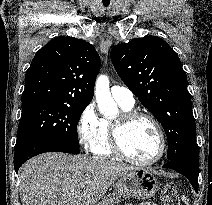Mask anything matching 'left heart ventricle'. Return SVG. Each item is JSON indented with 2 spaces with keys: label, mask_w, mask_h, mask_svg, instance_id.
Returning a JSON list of instances; mask_svg holds the SVG:
<instances>
[{
  "label": "left heart ventricle",
  "mask_w": 212,
  "mask_h": 205,
  "mask_svg": "<svg viewBox=\"0 0 212 205\" xmlns=\"http://www.w3.org/2000/svg\"><path fill=\"white\" fill-rule=\"evenodd\" d=\"M122 145L129 156L145 160L157 154L159 139L149 120L137 118L125 127L122 134Z\"/></svg>",
  "instance_id": "b2bd125f"
}]
</instances>
